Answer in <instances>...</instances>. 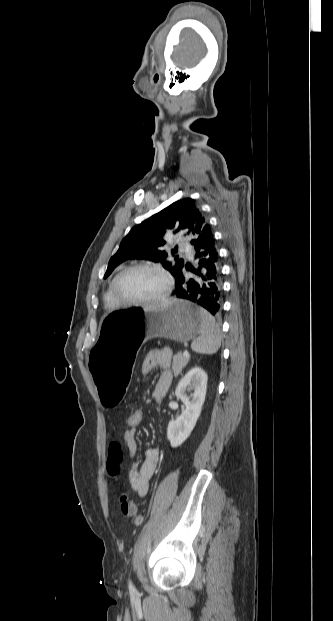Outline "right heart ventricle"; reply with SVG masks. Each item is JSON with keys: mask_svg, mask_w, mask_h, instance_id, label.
Masks as SVG:
<instances>
[{"mask_svg": "<svg viewBox=\"0 0 333 621\" xmlns=\"http://www.w3.org/2000/svg\"><path fill=\"white\" fill-rule=\"evenodd\" d=\"M112 281L109 283L108 288L104 294V303L106 307L108 308H116L119 306L112 293V289H111Z\"/></svg>", "mask_w": 333, "mask_h": 621, "instance_id": "1", "label": "right heart ventricle"}]
</instances>
